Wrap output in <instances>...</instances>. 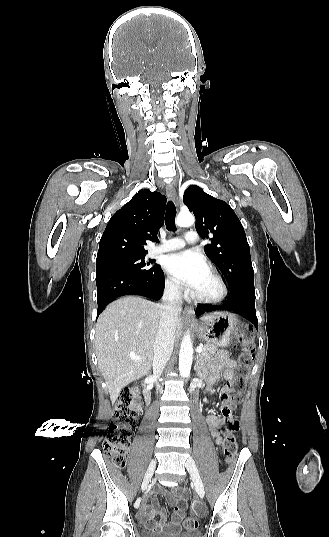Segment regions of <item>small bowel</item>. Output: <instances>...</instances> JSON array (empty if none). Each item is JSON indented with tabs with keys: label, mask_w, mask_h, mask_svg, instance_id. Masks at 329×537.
<instances>
[{
	"label": "small bowel",
	"mask_w": 329,
	"mask_h": 537,
	"mask_svg": "<svg viewBox=\"0 0 329 537\" xmlns=\"http://www.w3.org/2000/svg\"><path fill=\"white\" fill-rule=\"evenodd\" d=\"M236 367V362L231 359L227 353L223 352L218 354L209 368V387L207 388V391H213L212 384L220 377L226 383L222 386V389L227 391L229 389L228 385L234 381ZM207 424L209 426L212 438L217 444H221L222 437L220 436L219 429L222 424V420L217 416L210 414L207 416ZM162 494L166 497L169 504L174 506L172 518L170 520L168 519V515L165 510H158L159 502L155 498L150 503L145 502L143 504L140 516L141 521L146 528L150 530L156 532L177 533L182 527L181 523L185 514L184 509L187 491L183 487H175L172 494L164 492H162ZM157 517H159V520H157Z\"/></svg>",
	"instance_id": "c3829d8e"
}]
</instances>
